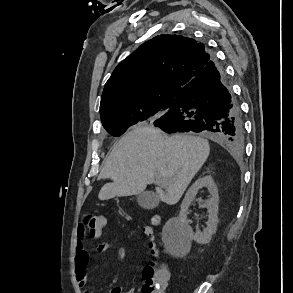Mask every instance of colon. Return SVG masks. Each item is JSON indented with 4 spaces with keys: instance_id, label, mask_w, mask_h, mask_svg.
Here are the masks:
<instances>
[{
    "instance_id": "colon-1",
    "label": "colon",
    "mask_w": 293,
    "mask_h": 293,
    "mask_svg": "<svg viewBox=\"0 0 293 293\" xmlns=\"http://www.w3.org/2000/svg\"><path fill=\"white\" fill-rule=\"evenodd\" d=\"M151 221L157 224L159 218L153 216ZM107 218L105 215L88 212L84 214L80 227L85 237L98 239L102 236ZM146 234L152 235V230L147 229ZM149 249L154 257H158L160 250L151 243ZM170 273L167 266L158 264L155 261L145 266L142 271L143 287L142 293H166L169 283Z\"/></svg>"
}]
</instances>
